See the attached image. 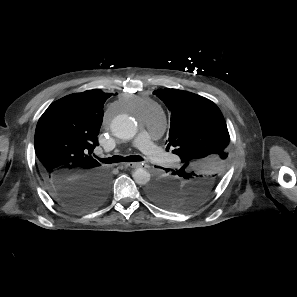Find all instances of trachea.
<instances>
[{"label":"trachea","mask_w":297,"mask_h":297,"mask_svg":"<svg viewBox=\"0 0 297 297\" xmlns=\"http://www.w3.org/2000/svg\"><path fill=\"white\" fill-rule=\"evenodd\" d=\"M144 159L141 156H119V155H114L112 157H108V158H99V161L103 162V163H107V164H111V163H119V162H139V161H143Z\"/></svg>","instance_id":"3493384b"}]
</instances>
